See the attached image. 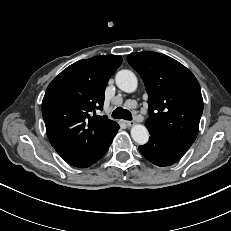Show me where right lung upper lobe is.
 Returning a JSON list of instances; mask_svg holds the SVG:
<instances>
[{"instance_id": "1", "label": "right lung upper lobe", "mask_w": 231, "mask_h": 231, "mask_svg": "<svg viewBox=\"0 0 231 231\" xmlns=\"http://www.w3.org/2000/svg\"><path fill=\"white\" fill-rule=\"evenodd\" d=\"M121 63L115 55L80 60L49 84L42 115L51 145L67 163L87 167L113 139L118 124L96 112L103 109L106 84Z\"/></svg>"}]
</instances>
